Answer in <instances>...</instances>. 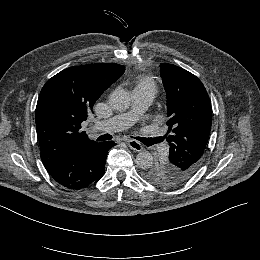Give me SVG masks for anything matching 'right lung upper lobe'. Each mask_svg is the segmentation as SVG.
<instances>
[{
    "label": "right lung upper lobe",
    "instance_id": "obj_1",
    "mask_svg": "<svg viewBox=\"0 0 260 260\" xmlns=\"http://www.w3.org/2000/svg\"><path fill=\"white\" fill-rule=\"evenodd\" d=\"M115 63L67 68L47 81L35 112L41 159L51 173L94 144L80 131L95 101L124 72Z\"/></svg>",
    "mask_w": 260,
    "mask_h": 260
}]
</instances>
